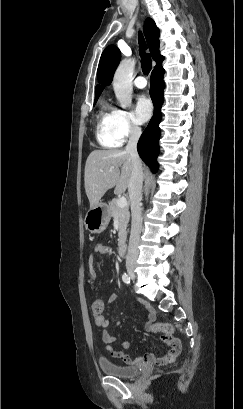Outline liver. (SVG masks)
Segmentation results:
<instances>
[{
    "label": "liver",
    "mask_w": 243,
    "mask_h": 409,
    "mask_svg": "<svg viewBox=\"0 0 243 409\" xmlns=\"http://www.w3.org/2000/svg\"><path fill=\"white\" fill-rule=\"evenodd\" d=\"M131 171L132 161L126 150L92 151L86 160L84 174L90 208L96 206L107 190L113 187L115 194L124 193L128 188Z\"/></svg>",
    "instance_id": "6515ba94"
}]
</instances>
